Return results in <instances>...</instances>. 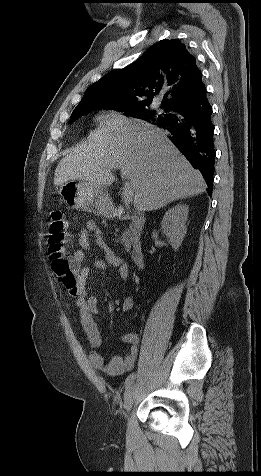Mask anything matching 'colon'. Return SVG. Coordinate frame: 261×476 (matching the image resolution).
Returning <instances> with one entry per match:
<instances>
[{
    "instance_id": "1",
    "label": "colon",
    "mask_w": 261,
    "mask_h": 476,
    "mask_svg": "<svg viewBox=\"0 0 261 476\" xmlns=\"http://www.w3.org/2000/svg\"><path fill=\"white\" fill-rule=\"evenodd\" d=\"M69 234V225L62 213L54 211L50 222L49 235L52 269L67 290H75L78 282L77 272L67 256L65 247Z\"/></svg>"
}]
</instances>
